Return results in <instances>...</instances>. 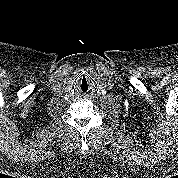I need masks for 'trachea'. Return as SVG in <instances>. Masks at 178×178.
Returning a JSON list of instances; mask_svg holds the SVG:
<instances>
[{
  "label": "trachea",
  "instance_id": "1",
  "mask_svg": "<svg viewBox=\"0 0 178 178\" xmlns=\"http://www.w3.org/2000/svg\"><path fill=\"white\" fill-rule=\"evenodd\" d=\"M78 87L81 92H87L89 89V81L88 79L83 76L79 82H78Z\"/></svg>",
  "mask_w": 178,
  "mask_h": 178
}]
</instances>
